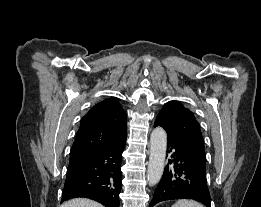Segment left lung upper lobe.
Segmentation results:
<instances>
[{"label": "left lung upper lobe", "instance_id": "5c2ea615", "mask_svg": "<svg viewBox=\"0 0 261 207\" xmlns=\"http://www.w3.org/2000/svg\"><path fill=\"white\" fill-rule=\"evenodd\" d=\"M156 126L163 127L168 140L202 164H206V153L200 125L194 114L178 101L167 102L158 113Z\"/></svg>", "mask_w": 261, "mask_h": 207}]
</instances>
